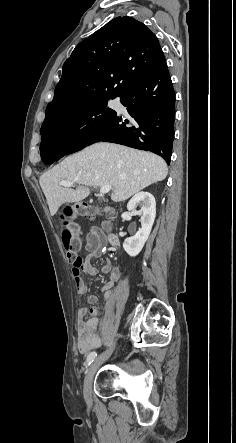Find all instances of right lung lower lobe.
<instances>
[{"mask_svg": "<svg viewBox=\"0 0 236 443\" xmlns=\"http://www.w3.org/2000/svg\"><path fill=\"white\" fill-rule=\"evenodd\" d=\"M127 107L128 119L113 111L85 134L66 146H45L41 159L52 164L99 141L114 142L154 152L170 164L174 139L175 92L165 57L133 81L119 96Z\"/></svg>", "mask_w": 236, "mask_h": 443, "instance_id": "1", "label": "right lung lower lobe"}]
</instances>
